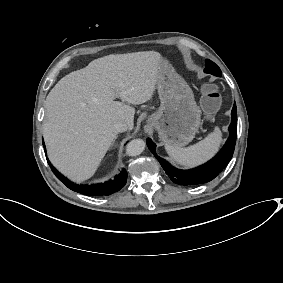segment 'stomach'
I'll list each match as a JSON object with an SVG mask.
<instances>
[{"instance_id": "1", "label": "stomach", "mask_w": 283, "mask_h": 283, "mask_svg": "<svg viewBox=\"0 0 283 283\" xmlns=\"http://www.w3.org/2000/svg\"><path fill=\"white\" fill-rule=\"evenodd\" d=\"M158 84L161 106L146 118V124L156 129L166 145L189 143L200 125V109L186 82L167 65L160 72Z\"/></svg>"}]
</instances>
